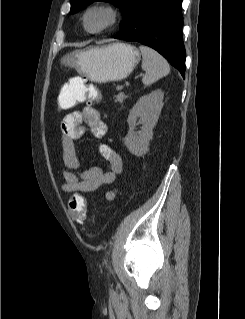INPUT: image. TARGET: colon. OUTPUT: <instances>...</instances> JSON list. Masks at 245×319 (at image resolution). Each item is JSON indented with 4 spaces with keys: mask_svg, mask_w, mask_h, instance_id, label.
I'll return each mask as SVG.
<instances>
[{
    "mask_svg": "<svg viewBox=\"0 0 245 319\" xmlns=\"http://www.w3.org/2000/svg\"><path fill=\"white\" fill-rule=\"evenodd\" d=\"M62 89V88H61ZM60 95L63 97L65 92H61ZM99 92L95 85L87 83L83 80V84L75 94L73 99H67L64 104H59L61 109H68L76 106L85 100L94 101L98 99ZM68 208L74 220L82 222L86 215V200L80 195H73L68 201Z\"/></svg>",
    "mask_w": 245,
    "mask_h": 319,
    "instance_id": "obj_1",
    "label": "colon"
}]
</instances>
